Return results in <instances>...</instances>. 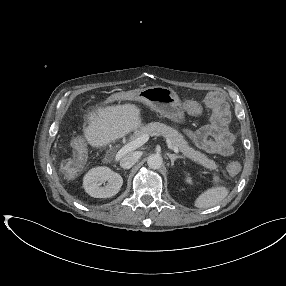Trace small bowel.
Segmentation results:
<instances>
[{
  "label": "small bowel",
  "instance_id": "1",
  "mask_svg": "<svg viewBox=\"0 0 286 286\" xmlns=\"http://www.w3.org/2000/svg\"><path fill=\"white\" fill-rule=\"evenodd\" d=\"M212 109V121L210 124L193 131L186 130V135L193 143L210 154L230 156L234 152V136L228 130L229 110L223 96L216 92L209 96ZM183 109L190 115H198L202 112V106L193 100L185 101Z\"/></svg>",
  "mask_w": 286,
  "mask_h": 286
}]
</instances>
